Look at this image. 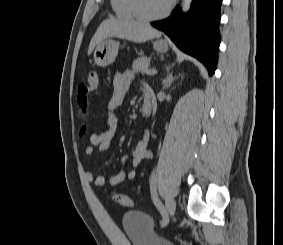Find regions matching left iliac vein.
<instances>
[{"label": "left iliac vein", "mask_w": 283, "mask_h": 245, "mask_svg": "<svg viewBox=\"0 0 283 245\" xmlns=\"http://www.w3.org/2000/svg\"><path fill=\"white\" fill-rule=\"evenodd\" d=\"M176 209V203L172 197H168L166 200V219L165 224L162 226H166L169 223L170 218L174 215Z\"/></svg>", "instance_id": "left-iliac-vein-1"}]
</instances>
